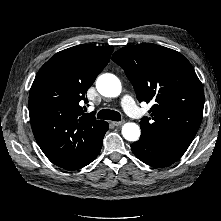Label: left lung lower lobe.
Wrapping results in <instances>:
<instances>
[{
	"label": "left lung lower lobe",
	"mask_w": 221,
	"mask_h": 221,
	"mask_svg": "<svg viewBox=\"0 0 221 221\" xmlns=\"http://www.w3.org/2000/svg\"><path fill=\"white\" fill-rule=\"evenodd\" d=\"M188 146L171 138L142 132L140 140L131 144V150L139 160L148 165L166 167L176 162Z\"/></svg>",
	"instance_id": "obj_1"
}]
</instances>
